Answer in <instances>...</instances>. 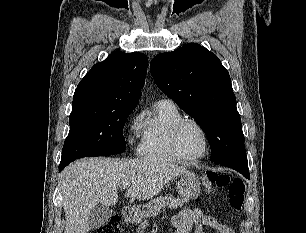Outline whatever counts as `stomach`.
Instances as JSON below:
<instances>
[{
    "label": "stomach",
    "mask_w": 306,
    "mask_h": 233,
    "mask_svg": "<svg viewBox=\"0 0 306 233\" xmlns=\"http://www.w3.org/2000/svg\"><path fill=\"white\" fill-rule=\"evenodd\" d=\"M177 190L180 196L184 200L195 199L200 194V184L194 173L182 174L179 177V180L176 183ZM143 215L136 217L137 220H140Z\"/></svg>",
    "instance_id": "obj_1"
}]
</instances>
